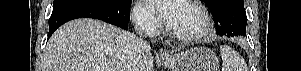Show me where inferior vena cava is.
Segmentation results:
<instances>
[{
    "label": "inferior vena cava",
    "instance_id": "inferior-vena-cava-1",
    "mask_svg": "<svg viewBox=\"0 0 301 71\" xmlns=\"http://www.w3.org/2000/svg\"><path fill=\"white\" fill-rule=\"evenodd\" d=\"M146 17H147L146 15L141 14V15H139V16L136 18V26H135V30H136L137 32L139 31L140 36H141V27H140V25L144 22V20H145ZM143 42H144V44H145L146 46L149 47V44H148L147 41H143Z\"/></svg>",
    "mask_w": 301,
    "mask_h": 71
}]
</instances>
